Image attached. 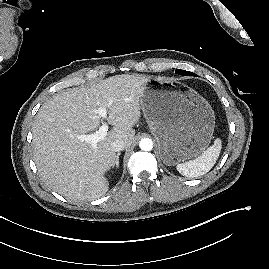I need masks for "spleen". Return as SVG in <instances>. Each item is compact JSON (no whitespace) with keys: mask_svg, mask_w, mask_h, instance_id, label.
<instances>
[{"mask_svg":"<svg viewBox=\"0 0 269 269\" xmlns=\"http://www.w3.org/2000/svg\"><path fill=\"white\" fill-rule=\"evenodd\" d=\"M221 147V140L219 138L215 139L214 144L204 150L195 159L177 164V171L190 178L206 174L216 163Z\"/></svg>","mask_w":269,"mask_h":269,"instance_id":"3e777b00","label":"spleen"}]
</instances>
